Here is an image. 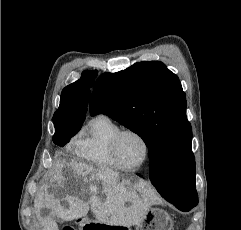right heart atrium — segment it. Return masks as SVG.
Returning a JSON list of instances; mask_svg holds the SVG:
<instances>
[{
  "label": "right heart atrium",
  "mask_w": 241,
  "mask_h": 230,
  "mask_svg": "<svg viewBox=\"0 0 241 230\" xmlns=\"http://www.w3.org/2000/svg\"><path fill=\"white\" fill-rule=\"evenodd\" d=\"M78 142H79V140H78L77 138H75V139L73 140V144L75 145V147L77 146Z\"/></svg>",
  "instance_id": "d8ad5b80"
}]
</instances>
